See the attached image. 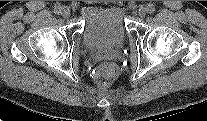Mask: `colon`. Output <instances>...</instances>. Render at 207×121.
Instances as JSON below:
<instances>
[{
	"instance_id": "5ec220e1",
	"label": "colon",
	"mask_w": 207,
	"mask_h": 121,
	"mask_svg": "<svg viewBox=\"0 0 207 121\" xmlns=\"http://www.w3.org/2000/svg\"><path fill=\"white\" fill-rule=\"evenodd\" d=\"M116 71V67L113 64H105L99 69V73L107 78H113L116 75Z\"/></svg>"
}]
</instances>
